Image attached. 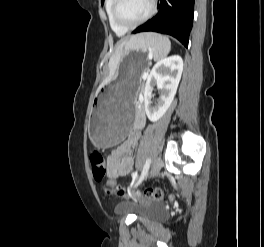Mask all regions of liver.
<instances>
[{"label": "liver", "instance_id": "liver-1", "mask_svg": "<svg viewBox=\"0 0 264 247\" xmlns=\"http://www.w3.org/2000/svg\"><path fill=\"white\" fill-rule=\"evenodd\" d=\"M142 36L143 34H139V35L131 37L129 41H123L122 43H120V45L117 47L115 55H113L109 61V70H110L109 76L101 83L98 90H100L104 85H106L114 77L117 67L121 60V56L123 54V49L126 48V46L129 43L133 44L135 41H137Z\"/></svg>", "mask_w": 264, "mask_h": 247}]
</instances>
